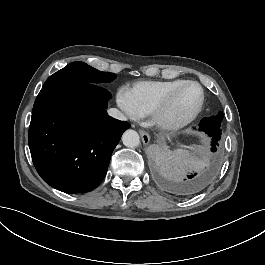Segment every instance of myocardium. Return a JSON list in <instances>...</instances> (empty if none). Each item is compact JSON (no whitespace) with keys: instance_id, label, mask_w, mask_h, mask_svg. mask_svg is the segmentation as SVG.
Returning <instances> with one entry per match:
<instances>
[{"instance_id":"1","label":"myocardium","mask_w":265,"mask_h":265,"mask_svg":"<svg viewBox=\"0 0 265 265\" xmlns=\"http://www.w3.org/2000/svg\"><path fill=\"white\" fill-rule=\"evenodd\" d=\"M188 84H196L199 86L201 91V97L198 105L186 115L176 119L171 120L168 118V114L175 105L180 93L183 88ZM206 103V91L201 82L195 79L183 80L172 93L161 103L152 113L151 122L154 128L158 132L162 133H176L186 126H188L195 118L202 112Z\"/></svg>"}]
</instances>
